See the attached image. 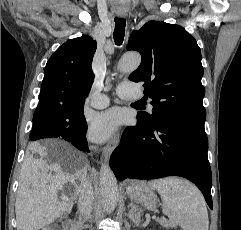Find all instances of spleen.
<instances>
[{
    "instance_id": "obj_1",
    "label": "spleen",
    "mask_w": 241,
    "mask_h": 230,
    "mask_svg": "<svg viewBox=\"0 0 241 230\" xmlns=\"http://www.w3.org/2000/svg\"><path fill=\"white\" fill-rule=\"evenodd\" d=\"M149 185L162 198V212L183 230H208L209 220L204 197L190 182L180 178L153 180Z\"/></svg>"
}]
</instances>
